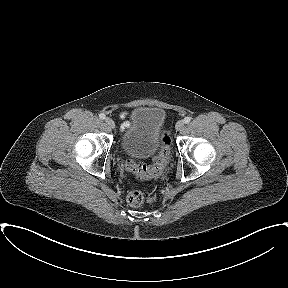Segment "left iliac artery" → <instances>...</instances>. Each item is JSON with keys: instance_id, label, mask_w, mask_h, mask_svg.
I'll use <instances>...</instances> for the list:
<instances>
[{"instance_id": "44dca946", "label": "left iliac artery", "mask_w": 288, "mask_h": 288, "mask_svg": "<svg viewBox=\"0 0 288 288\" xmlns=\"http://www.w3.org/2000/svg\"><path fill=\"white\" fill-rule=\"evenodd\" d=\"M191 121V118L190 117H185L184 118V122L187 124V123H189Z\"/></svg>"}]
</instances>
